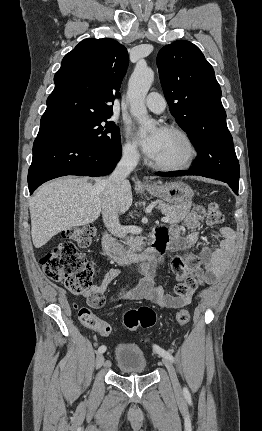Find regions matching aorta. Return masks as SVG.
<instances>
[{"label": "aorta", "mask_w": 262, "mask_h": 431, "mask_svg": "<svg viewBox=\"0 0 262 431\" xmlns=\"http://www.w3.org/2000/svg\"><path fill=\"white\" fill-rule=\"evenodd\" d=\"M153 80V70L140 64L136 66L129 80L127 97L130 102V112L140 124V132L142 134H145L155 127L148 116L145 106V98Z\"/></svg>", "instance_id": "762f6f07"}]
</instances>
